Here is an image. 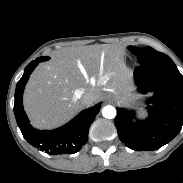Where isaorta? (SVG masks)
<instances>
[{
	"label": "aorta",
	"mask_w": 183,
	"mask_h": 183,
	"mask_svg": "<svg viewBox=\"0 0 183 183\" xmlns=\"http://www.w3.org/2000/svg\"><path fill=\"white\" fill-rule=\"evenodd\" d=\"M103 117L107 119H113L116 117V109L111 105H107L102 109Z\"/></svg>",
	"instance_id": "obj_1"
}]
</instances>
